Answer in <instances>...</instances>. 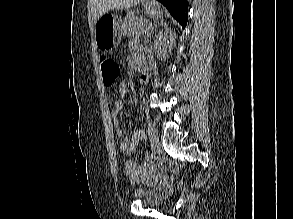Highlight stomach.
Segmentation results:
<instances>
[{"label":"stomach","instance_id":"0dacf381","mask_svg":"<svg viewBox=\"0 0 293 219\" xmlns=\"http://www.w3.org/2000/svg\"><path fill=\"white\" fill-rule=\"evenodd\" d=\"M144 13L150 18L163 15L161 6L155 0H143ZM122 22L115 15H103L95 23V43L99 50L112 51L118 46L122 37Z\"/></svg>","mask_w":293,"mask_h":219}]
</instances>
